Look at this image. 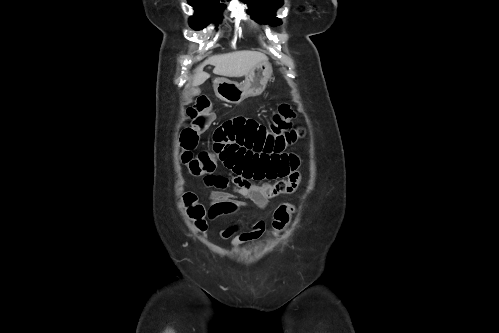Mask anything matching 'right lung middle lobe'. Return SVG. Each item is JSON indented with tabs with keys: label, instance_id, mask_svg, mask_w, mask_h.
Masks as SVG:
<instances>
[{
	"label": "right lung middle lobe",
	"instance_id": "1",
	"mask_svg": "<svg viewBox=\"0 0 499 333\" xmlns=\"http://www.w3.org/2000/svg\"><path fill=\"white\" fill-rule=\"evenodd\" d=\"M196 13L190 18V26L195 30H200L209 23L216 21L222 13L223 4L218 1H189Z\"/></svg>",
	"mask_w": 499,
	"mask_h": 333
}]
</instances>
